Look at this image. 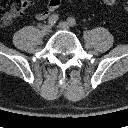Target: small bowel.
I'll use <instances>...</instances> for the list:
<instances>
[{
	"label": "small bowel",
	"mask_w": 128,
	"mask_h": 128,
	"mask_svg": "<svg viewBox=\"0 0 128 128\" xmlns=\"http://www.w3.org/2000/svg\"><path fill=\"white\" fill-rule=\"evenodd\" d=\"M28 4H33V0H27ZM61 4V0H49L44 10L37 12L36 18L38 20H45L50 16Z\"/></svg>",
	"instance_id": "1"
}]
</instances>
